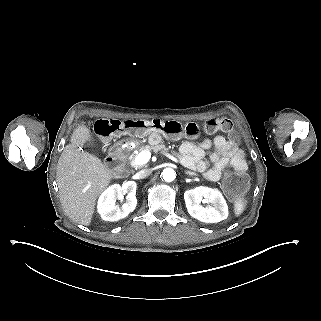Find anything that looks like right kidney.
Instances as JSON below:
<instances>
[{"label": "right kidney", "mask_w": 321, "mask_h": 321, "mask_svg": "<svg viewBox=\"0 0 321 321\" xmlns=\"http://www.w3.org/2000/svg\"><path fill=\"white\" fill-rule=\"evenodd\" d=\"M136 187L135 181H127L122 186L115 184L107 189L98 201V211L102 218L107 221H118L133 212L137 205ZM126 194V203L122 206L116 204V200H122Z\"/></svg>", "instance_id": "obj_1"}]
</instances>
